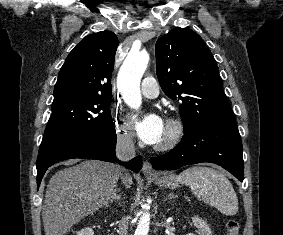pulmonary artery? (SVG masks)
Instances as JSON below:
<instances>
[{
  "label": "pulmonary artery",
  "mask_w": 283,
  "mask_h": 235,
  "mask_svg": "<svg viewBox=\"0 0 283 235\" xmlns=\"http://www.w3.org/2000/svg\"><path fill=\"white\" fill-rule=\"evenodd\" d=\"M141 93L147 98H156L159 95V87L154 77H145L141 82Z\"/></svg>",
  "instance_id": "1"
}]
</instances>
